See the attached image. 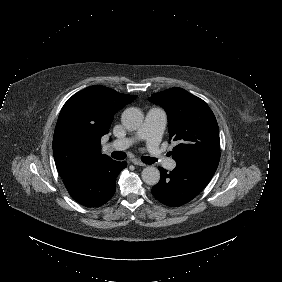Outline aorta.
Masks as SVG:
<instances>
[{
    "label": "aorta",
    "instance_id": "1",
    "mask_svg": "<svg viewBox=\"0 0 282 282\" xmlns=\"http://www.w3.org/2000/svg\"><path fill=\"white\" fill-rule=\"evenodd\" d=\"M144 120V114L138 107H129L122 113V122L127 129L139 128ZM160 171L153 166H148L142 171V179L147 185H156L160 180Z\"/></svg>",
    "mask_w": 282,
    "mask_h": 282
}]
</instances>
